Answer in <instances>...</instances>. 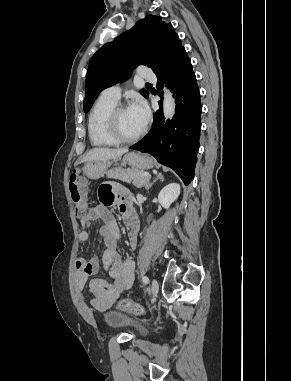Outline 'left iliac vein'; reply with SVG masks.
<instances>
[{
  "instance_id": "4c4485c4",
  "label": "left iliac vein",
  "mask_w": 291,
  "mask_h": 381,
  "mask_svg": "<svg viewBox=\"0 0 291 381\" xmlns=\"http://www.w3.org/2000/svg\"><path fill=\"white\" fill-rule=\"evenodd\" d=\"M158 290H159L158 281L156 279H153L152 285H151V294H152L153 297L157 296Z\"/></svg>"
}]
</instances>
